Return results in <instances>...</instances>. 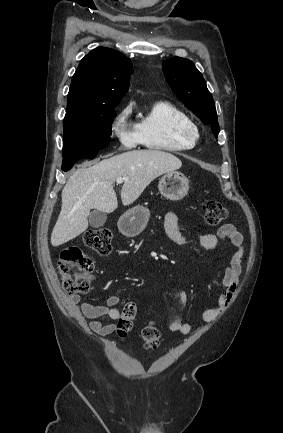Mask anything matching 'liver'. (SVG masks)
Masks as SVG:
<instances>
[{"mask_svg": "<svg viewBox=\"0 0 283 433\" xmlns=\"http://www.w3.org/2000/svg\"><path fill=\"white\" fill-rule=\"evenodd\" d=\"M181 164L180 158L163 150H128L100 162H83L62 190L61 210L51 235L53 247L75 239L88 229L91 208L101 212H113L117 208L113 184L119 176H128L121 188L122 204L126 206L140 196L151 180L177 170Z\"/></svg>", "mask_w": 283, "mask_h": 433, "instance_id": "liver-1", "label": "liver"}]
</instances>
